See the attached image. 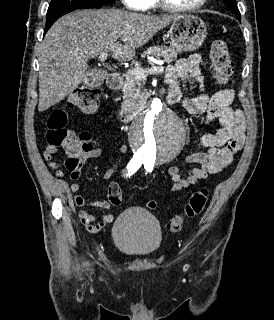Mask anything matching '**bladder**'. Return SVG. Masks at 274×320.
Returning a JSON list of instances; mask_svg holds the SVG:
<instances>
[{
    "mask_svg": "<svg viewBox=\"0 0 274 320\" xmlns=\"http://www.w3.org/2000/svg\"><path fill=\"white\" fill-rule=\"evenodd\" d=\"M112 234L116 247L132 257H147L162 243L158 221L142 208L124 210L114 222Z\"/></svg>",
    "mask_w": 274,
    "mask_h": 320,
    "instance_id": "31cf9c89",
    "label": "bladder"
}]
</instances>
